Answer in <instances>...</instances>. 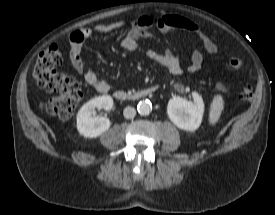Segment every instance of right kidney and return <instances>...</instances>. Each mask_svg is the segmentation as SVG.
I'll return each instance as SVG.
<instances>
[{"label":"right kidney","mask_w":275,"mask_h":215,"mask_svg":"<svg viewBox=\"0 0 275 215\" xmlns=\"http://www.w3.org/2000/svg\"><path fill=\"white\" fill-rule=\"evenodd\" d=\"M113 107V99L109 95L99 96L86 102L77 114V130L87 138H95L106 132L111 122L106 117L94 116L95 108L108 111Z\"/></svg>","instance_id":"right-kidney-1"}]
</instances>
